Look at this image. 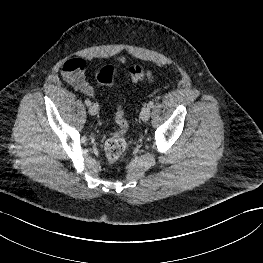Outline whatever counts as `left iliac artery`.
I'll use <instances>...</instances> for the list:
<instances>
[{"label": "left iliac artery", "mask_w": 263, "mask_h": 263, "mask_svg": "<svg viewBox=\"0 0 263 263\" xmlns=\"http://www.w3.org/2000/svg\"><path fill=\"white\" fill-rule=\"evenodd\" d=\"M153 105H154V102H153V101H150V102L148 103V107H150V108H152Z\"/></svg>", "instance_id": "1"}]
</instances>
